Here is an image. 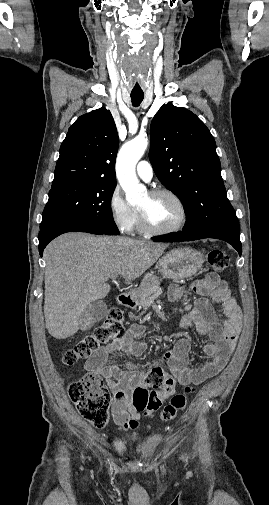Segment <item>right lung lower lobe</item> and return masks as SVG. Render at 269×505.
Here are the masks:
<instances>
[{
    "label": "right lung lower lobe",
    "instance_id": "obj_1",
    "mask_svg": "<svg viewBox=\"0 0 269 505\" xmlns=\"http://www.w3.org/2000/svg\"><path fill=\"white\" fill-rule=\"evenodd\" d=\"M72 231L87 232L99 235L105 234L104 232L98 229L91 228L75 222H68V221L52 222L40 228V233L38 236L40 255L42 256L44 248L51 240H53L55 237L63 233Z\"/></svg>",
    "mask_w": 269,
    "mask_h": 505
}]
</instances>
